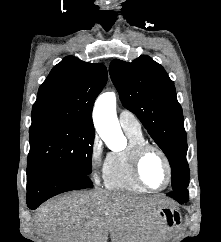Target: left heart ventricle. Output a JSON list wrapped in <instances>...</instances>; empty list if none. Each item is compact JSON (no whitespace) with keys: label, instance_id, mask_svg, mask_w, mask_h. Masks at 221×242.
I'll return each mask as SVG.
<instances>
[{"label":"left heart ventricle","instance_id":"obj_1","mask_svg":"<svg viewBox=\"0 0 221 242\" xmlns=\"http://www.w3.org/2000/svg\"><path fill=\"white\" fill-rule=\"evenodd\" d=\"M141 173L146 183L153 188L164 186L167 169L162 157L155 151L149 152L141 165Z\"/></svg>","mask_w":221,"mask_h":242}]
</instances>
